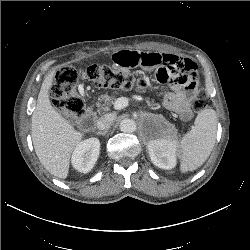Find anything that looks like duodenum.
I'll use <instances>...</instances> for the list:
<instances>
[{
  "label": "duodenum",
  "mask_w": 250,
  "mask_h": 250,
  "mask_svg": "<svg viewBox=\"0 0 250 250\" xmlns=\"http://www.w3.org/2000/svg\"><path fill=\"white\" fill-rule=\"evenodd\" d=\"M95 113L92 109L87 111L86 117L83 119V125L85 127H90L93 124Z\"/></svg>",
  "instance_id": "duodenum-1"
}]
</instances>
